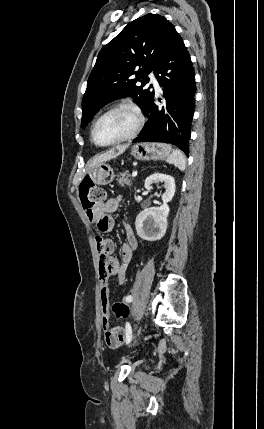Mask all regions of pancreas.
Listing matches in <instances>:
<instances>
[{
    "label": "pancreas",
    "mask_w": 264,
    "mask_h": 429,
    "mask_svg": "<svg viewBox=\"0 0 264 429\" xmlns=\"http://www.w3.org/2000/svg\"><path fill=\"white\" fill-rule=\"evenodd\" d=\"M130 177L131 175L127 171H125L118 175L117 181L120 186H124V185L131 186L132 183H131Z\"/></svg>",
    "instance_id": "obj_1"
}]
</instances>
